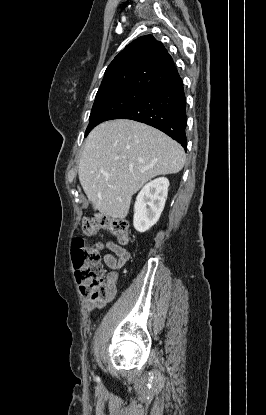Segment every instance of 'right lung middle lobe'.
Segmentation results:
<instances>
[{
  "label": "right lung middle lobe",
  "mask_w": 266,
  "mask_h": 415,
  "mask_svg": "<svg viewBox=\"0 0 266 415\" xmlns=\"http://www.w3.org/2000/svg\"><path fill=\"white\" fill-rule=\"evenodd\" d=\"M149 92L135 89H116L97 93L85 136L98 124L115 113L143 99Z\"/></svg>",
  "instance_id": "right-lung-middle-lobe-1"
}]
</instances>
